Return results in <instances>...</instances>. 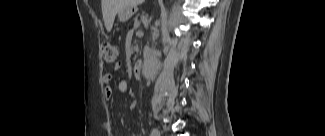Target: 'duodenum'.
Wrapping results in <instances>:
<instances>
[{"instance_id": "410a0bca", "label": "duodenum", "mask_w": 325, "mask_h": 136, "mask_svg": "<svg viewBox=\"0 0 325 136\" xmlns=\"http://www.w3.org/2000/svg\"><path fill=\"white\" fill-rule=\"evenodd\" d=\"M142 70H143V64L141 61H137L134 66H133V69H132V72H133V75L135 77H140L141 74H142Z\"/></svg>"}]
</instances>
